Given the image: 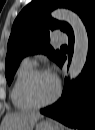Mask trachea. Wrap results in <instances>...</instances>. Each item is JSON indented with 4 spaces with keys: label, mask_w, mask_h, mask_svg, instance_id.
Here are the masks:
<instances>
[{
    "label": "trachea",
    "mask_w": 95,
    "mask_h": 130,
    "mask_svg": "<svg viewBox=\"0 0 95 130\" xmlns=\"http://www.w3.org/2000/svg\"><path fill=\"white\" fill-rule=\"evenodd\" d=\"M61 48H67V46H66V45H63V46H61Z\"/></svg>",
    "instance_id": "1"
}]
</instances>
